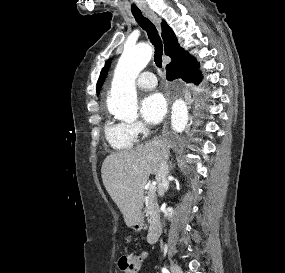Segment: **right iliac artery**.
I'll return each instance as SVG.
<instances>
[{"label":"right iliac artery","instance_id":"obj_1","mask_svg":"<svg viewBox=\"0 0 285 273\" xmlns=\"http://www.w3.org/2000/svg\"><path fill=\"white\" fill-rule=\"evenodd\" d=\"M162 273H170L166 268H162Z\"/></svg>","mask_w":285,"mask_h":273}]
</instances>
